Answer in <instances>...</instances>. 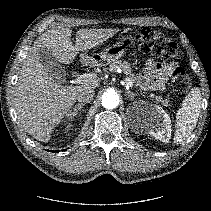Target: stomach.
<instances>
[{
  "instance_id": "0dacf381",
  "label": "stomach",
  "mask_w": 211,
  "mask_h": 211,
  "mask_svg": "<svg viewBox=\"0 0 211 211\" xmlns=\"http://www.w3.org/2000/svg\"><path fill=\"white\" fill-rule=\"evenodd\" d=\"M132 43L133 38L131 36L122 37L112 46L105 48L100 54L94 55L93 58L99 64L111 63L121 58Z\"/></svg>"
}]
</instances>
